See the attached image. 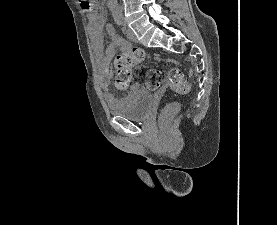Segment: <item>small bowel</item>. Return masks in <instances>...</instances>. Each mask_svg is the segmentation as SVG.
I'll return each mask as SVG.
<instances>
[{
  "label": "small bowel",
  "instance_id": "c3829d8e",
  "mask_svg": "<svg viewBox=\"0 0 277 225\" xmlns=\"http://www.w3.org/2000/svg\"><path fill=\"white\" fill-rule=\"evenodd\" d=\"M106 32L111 37V43L106 48L105 52L102 51V41H103V28L102 22L99 18L96 17L94 13L89 15V33L91 36V43L93 47V51L95 54V58L97 62L100 64L102 72L106 73L108 70V65L115 53V51L119 48L127 49L128 45L125 41L115 33L114 27L111 24H107ZM137 85H134V88H137ZM104 94L107 100H112L113 96L108 91L107 86H104Z\"/></svg>",
  "mask_w": 277,
  "mask_h": 225
}]
</instances>
